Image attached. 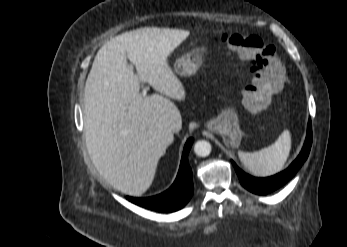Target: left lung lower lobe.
Wrapping results in <instances>:
<instances>
[{
    "mask_svg": "<svg viewBox=\"0 0 347 247\" xmlns=\"http://www.w3.org/2000/svg\"><path fill=\"white\" fill-rule=\"evenodd\" d=\"M311 144L312 130L311 121H309L303 149L296 160L285 171L267 178H255L244 173L233 161L232 164L237 172L241 184L246 189L255 194L265 195L283 186L297 173L309 155Z\"/></svg>",
    "mask_w": 347,
    "mask_h": 247,
    "instance_id": "1",
    "label": "left lung lower lobe"
}]
</instances>
